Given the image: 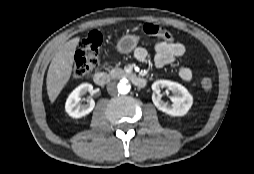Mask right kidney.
Here are the masks:
<instances>
[{"label": "right kidney", "instance_id": "1", "mask_svg": "<svg viewBox=\"0 0 254 174\" xmlns=\"http://www.w3.org/2000/svg\"><path fill=\"white\" fill-rule=\"evenodd\" d=\"M87 92H93V86L89 83H83L71 92L65 104V110L69 116L73 118H81L94 109L95 102L93 99L89 100L85 105L81 104V96Z\"/></svg>", "mask_w": 254, "mask_h": 174}]
</instances>
